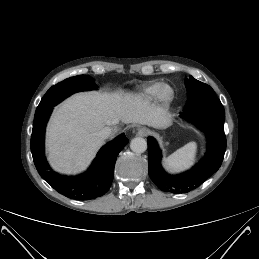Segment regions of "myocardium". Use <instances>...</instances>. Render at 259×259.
Returning <instances> with one entry per match:
<instances>
[{
  "label": "myocardium",
  "mask_w": 259,
  "mask_h": 259,
  "mask_svg": "<svg viewBox=\"0 0 259 259\" xmlns=\"http://www.w3.org/2000/svg\"><path fill=\"white\" fill-rule=\"evenodd\" d=\"M174 89L169 84H162L157 91V99L163 104H170L174 99Z\"/></svg>",
  "instance_id": "obj_1"
}]
</instances>
